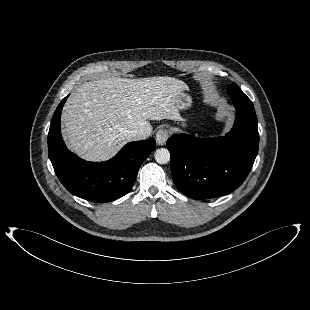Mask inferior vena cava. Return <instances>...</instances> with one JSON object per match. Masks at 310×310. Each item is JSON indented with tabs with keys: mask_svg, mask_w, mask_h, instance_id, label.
<instances>
[{
	"mask_svg": "<svg viewBox=\"0 0 310 310\" xmlns=\"http://www.w3.org/2000/svg\"><path fill=\"white\" fill-rule=\"evenodd\" d=\"M128 137L131 140H142V139L147 138V135L143 131L135 129V130L128 131Z\"/></svg>",
	"mask_w": 310,
	"mask_h": 310,
	"instance_id": "obj_1",
	"label": "inferior vena cava"
}]
</instances>
